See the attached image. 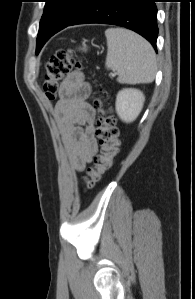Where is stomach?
<instances>
[{"mask_svg": "<svg viewBox=\"0 0 195 299\" xmlns=\"http://www.w3.org/2000/svg\"><path fill=\"white\" fill-rule=\"evenodd\" d=\"M82 50H83V51H86V46H85V45L83 46Z\"/></svg>", "mask_w": 195, "mask_h": 299, "instance_id": "obj_1", "label": "stomach"}]
</instances>
